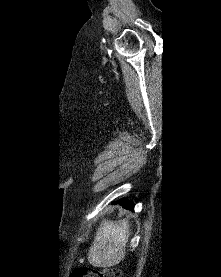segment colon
Listing matches in <instances>:
<instances>
[{
  "mask_svg": "<svg viewBox=\"0 0 221 277\" xmlns=\"http://www.w3.org/2000/svg\"><path fill=\"white\" fill-rule=\"evenodd\" d=\"M71 277H122V274L117 268L98 271L93 268L82 267L75 269Z\"/></svg>",
  "mask_w": 221,
  "mask_h": 277,
  "instance_id": "colon-1",
  "label": "colon"
}]
</instances>
